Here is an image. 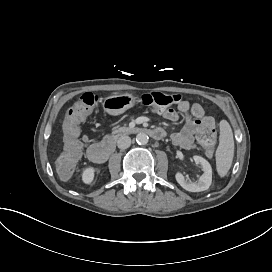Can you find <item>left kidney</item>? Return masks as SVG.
<instances>
[{"label":"left kidney","mask_w":272,"mask_h":272,"mask_svg":"<svg viewBox=\"0 0 272 272\" xmlns=\"http://www.w3.org/2000/svg\"><path fill=\"white\" fill-rule=\"evenodd\" d=\"M193 159L196 164L201 165L203 174L196 182H188L182 173H176V181L187 191L200 192L207 190L212 183V168L209 162L201 156L194 155Z\"/></svg>","instance_id":"obj_1"}]
</instances>
